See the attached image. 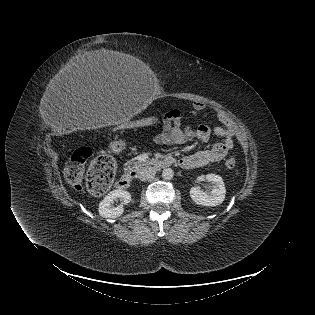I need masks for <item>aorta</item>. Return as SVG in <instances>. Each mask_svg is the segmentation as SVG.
Instances as JSON below:
<instances>
[{
  "label": "aorta",
  "instance_id": "aorta-1",
  "mask_svg": "<svg viewBox=\"0 0 315 315\" xmlns=\"http://www.w3.org/2000/svg\"><path fill=\"white\" fill-rule=\"evenodd\" d=\"M174 176V171L171 168H166L162 172V177L166 180H171Z\"/></svg>",
  "mask_w": 315,
  "mask_h": 315
}]
</instances>
